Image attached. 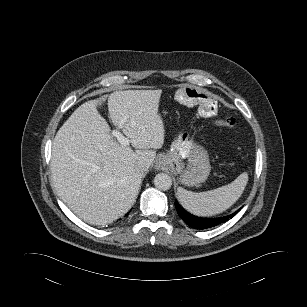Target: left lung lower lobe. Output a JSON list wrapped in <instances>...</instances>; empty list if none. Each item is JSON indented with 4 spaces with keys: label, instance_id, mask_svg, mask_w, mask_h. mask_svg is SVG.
<instances>
[{
    "label": "left lung lower lobe",
    "instance_id": "0a47b994",
    "mask_svg": "<svg viewBox=\"0 0 307 307\" xmlns=\"http://www.w3.org/2000/svg\"><path fill=\"white\" fill-rule=\"evenodd\" d=\"M175 207L178 215L192 228L195 229H207L214 226H217L223 222L228 221L230 218H233L240 210H237L233 214L220 218H201L194 216L187 211H185L177 201H175Z\"/></svg>",
    "mask_w": 307,
    "mask_h": 307
}]
</instances>
